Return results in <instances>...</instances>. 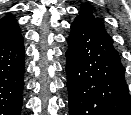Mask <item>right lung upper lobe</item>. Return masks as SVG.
<instances>
[{
  "label": "right lung upper lobe",
  "instance_id": "obj_1",
  "mask_svg": "<svg viewBox=\"0 0 131 115\" xmlns=\"http://www.w3.org/2000/svg\"><path fill=\"white\" fill-rule=\"evenodd\" d=\"M20 36V28L12 15L0 19V46L12 43Z\"/></svg>",
  "mask_w": 131,
  "mask_h": 115
}]
</instances>
